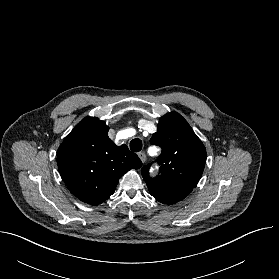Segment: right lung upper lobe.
Masks as SVG:
<instances>
[{
    "label": "right lung upper lobe",
    "instance_id": "1",
    "mask_svg": "<svg viewBox=\"0 0 279 279\" xmlns=\"http://www.w3.org/2000/svg\"><path fill=\"white\" fill-rule=\"evenodd\" d=\"M104 121L86 117L66 136L57 152L59 172L79 200L98 205L115 191L119 179L142 162L126 145L116 146Z\"/></svg>",
    "mask_w": 279,
    "mask_h": 279
}]
</instances>
